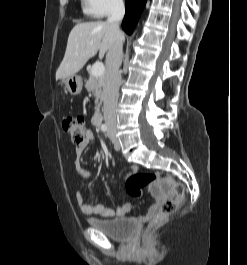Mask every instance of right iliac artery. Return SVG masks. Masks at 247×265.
Listing matches in <instances>:
<instances>
[{
	"label": "right iliac artery",
	"mask_w": 247,
	"mask_h": 265,
	"mask_svg": "<svg viewBox=\"0 0 247 265\" xmlns=\"http://www.w3.org/2000/svg\"><path fill=\"white\" fill-rule=\"evenodd\" d=\"M107 128H108V127H107L106 124H103V125L101 126V130L104 131V132L107 131Z\"/></svg>",
	"instance_id": "obj_1"
}]
</instances>
